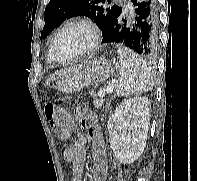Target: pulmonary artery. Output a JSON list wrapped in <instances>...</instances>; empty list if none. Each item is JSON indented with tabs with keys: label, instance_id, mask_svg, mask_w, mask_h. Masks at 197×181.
I'll return each mask as SVG.
<instances>
[{
	"label": "pulmonary artery",
	"instance_id": "pulmonary-artery-1",
	"mask_svg": "<svg viewBox=\"0 0 197 181\" xmlns=\"http://www.w3.org/2000/svg\"><path fill=\"white\" fill-rule=\"evenodd\" d=\"M126 7H127L128 9H130V8H132V4H131L130 2H126Z\"/></svg>",
	"mask_w": 197,
	"mask_h": 181
}]
</instances>
